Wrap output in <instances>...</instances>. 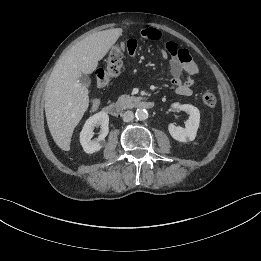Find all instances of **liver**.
Here are the masks:
<instances>
[{
    "instance_id": "obj_1",
    "label": "liver",
    "mask_w": 261,
    "mask_h": 261,
    "mask_svg": "<svg viewBox=\"0 0 261 261\" xmlns=\"http://www.w3.org/2000/svg\"><path fill=\"white\" fill-rule=\"evenodd\" d=\"M121 35V28L92 34L57 61L45 88V114L53 140L62 150L70 149L73 130L89 106V91L79 78L95 71Z\"/></svg>"
}]
</instances>
